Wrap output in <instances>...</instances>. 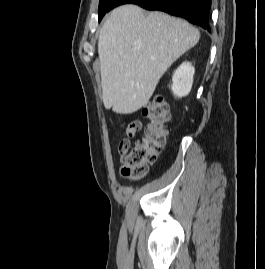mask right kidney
<instances>
[{"mask_svg":"<svg viewBox=\"0 0 265 269\" xmlns=\"http://www.w3.org/2000/svg\"><path fill=\"white\" fill-rule=\"evenodd\" d=\"M195 68L189 62L182 63L174 72L171 89L175 96L181 98L189 94L193 84Z\"/></svg>","mask_w":265,"mask_h":269,"instance_id":"obj_1","label":"right kidney"}]
</instances>
